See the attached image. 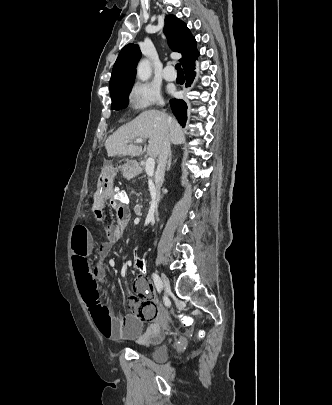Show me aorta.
I'll use <instances>...</instances> for the list:
<instances>
[{"mask_svg":"<svg viewBox=\"0 0 332 405\" xmlns=\"http://www.w3.org/2000/svg\"><path fill=\"white\" fill-rule=\"evenodd\" d=\"M152 74L151 63L148 59H143L137 66V77L141 81H147Z\"/></svg>","mask_w":332,"mask_h":405,"instance_id":"obj_1","label":"aorta"}]
</instances>
